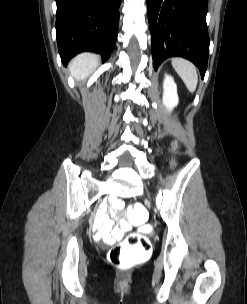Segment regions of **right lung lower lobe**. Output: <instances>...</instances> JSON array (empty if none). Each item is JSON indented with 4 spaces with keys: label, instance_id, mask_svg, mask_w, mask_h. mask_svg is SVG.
<instances>
[{
    "label": "right lung lower lobe",
    "instance_id": "obj_1",
    "mask_svg": "<svg viewBox=\"0 0 247 304\" xmlns=\"http://www.w3.org/2000/svg\"><path fill=\"white\" fill-rule=\"evenodd\" d=\"M58 51L66 65L83 51L106 61L114 48L121 0H56Z\"/></svg>",
    "mask_w": 247,
    "mask_h": 304
}]
</instances>
